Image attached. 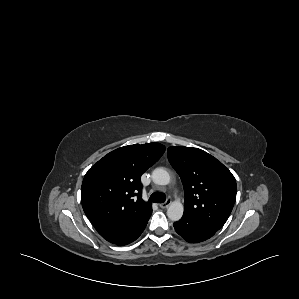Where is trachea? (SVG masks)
Listing matches in <instances>:
<instances>
[{
    "instance_id": "trachea-1",
    "label": "trachea",
    "mask_w": 299,
    "mask_h": 299,
    "mask_svg": "<svg viewBox=\"0 0 299 299\" xmlns=\"http://www.w3.org/2000/svg\"><path fill=\"white\" fill-rule=\"evenodd\" d=\"M149 201L155 202V203H164L165 196L160 192H155L150 196Z\"/></svg>"
}]
</instances>
